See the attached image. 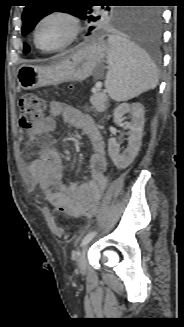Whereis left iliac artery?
<instances>
[{
	"label": "left iliac artery",
	"mask_w": 184,
	"mask_h": 327,
	"mask_svg": "<svg viewBox=\"0 0 184 327\" xmlns=\"http://www.w3.org/2000/svg\"><path fill=\"white\" fill-rule=\"evenodd\" d=\"M97 234L96 231H92V232H89L88 234H86V236L82 239V242H81V246H84L86 245L87 243H89V241L92 240V238Z\"/></svg>",
	"instance_id": "1"
}]
</instances>
